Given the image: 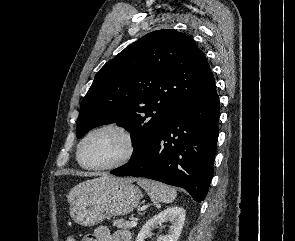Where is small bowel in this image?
Listing matches in <instances>:
<instances>
[{"label":"small bowel","mask_w":295,"mask_h":241,"mask_svg":"<svg viewBox=\"0 0 295 241\" xmlns=\"http://www.w3.org/2000/svg\"><path fill=\"white\" fill-rule=\"evenodd\" d=\"M130 233L124 230L111 233L107 227L99 226L92 234L86 235L83 241H130Z\"/></svg>","instance_id":"obj_1"}]
</instances>
